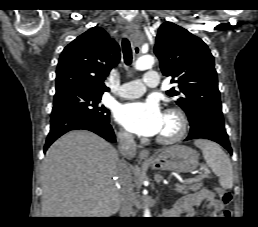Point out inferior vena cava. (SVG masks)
<instances>
[{
	"label": "inferior vena cava",
	"instance_id": "602c4592",
	"mask_svg": "<svg viewBox=\"0 0 258 227\" xmlns=\"http://www.w3.org/2000/svg\"><path fill=\"white\" fill-rule=\"evenodd\" d=\"M118 149L123 157L131 159L134 158L137 151V146L133 136L128 132L118 133ZM119 168L123 174V183L120 190V217H130L132 204H131V178L128 171V165L125 161H120Z\"/></svg>",
	"mask_w": 258,
	"mask_h": 227
}]
</instances>
